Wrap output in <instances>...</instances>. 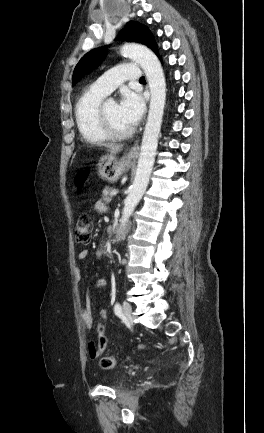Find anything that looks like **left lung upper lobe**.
I'll return each mask as SVG.
<instances>
[{
	"label": "left lung upper lobe",
	"instance_id": "5c2ea615",
	"mask_svg": "<svg viewBox=\"0 0 264 433\" xmlns=\"http://www.w3.org/2000/svg\"><path fill=\"white\" fill-rule=\"evenodd\" d=\"M118 38L142 43L151 48L153 52L158 54V46L152 33L147 26L139 22L131 21L127 23L125 29L119 33ZM104 52L105 49L103 48L95 49L81 58L73 73V85H75L83 76L88 74L100 64L102 58L104 57Z\"/></svg>",
	"mask_w": 264,
	"mask_h": 433
}]
</instances>
